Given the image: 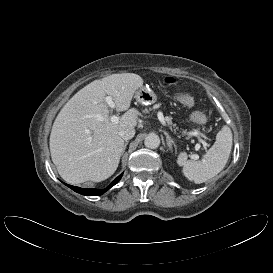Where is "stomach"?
Here are the masks:
<instances>
[{
	"mask_svg": "<svg viewBox=\"0 0 273 273\" xmlns=\"http://www.w3.org/2000/svg\"><path fill=\"white\" fill-rule=\"evenodd\" d=\"M134 97L136 101L142 105H150L156 101L154 92L147 87H141L137 90Z\"/></svg>",
	"mask_w": 273,
	"mask_h": 273,
	"instance_id": "obj_1",
	"label": "stomach"
}]
</instances>
